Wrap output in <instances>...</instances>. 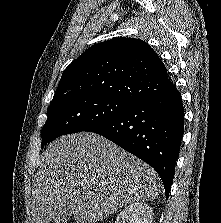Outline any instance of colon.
I'll return each mask as SVG.
<instances>
[{"label":"colon","mask_w":221,"mask_h":223,"mask_svg":"<svg viewBox=\"0 0 221 223\" xmlns=\"http://www.w3.org/2000/svg\"><path fill=\"white\" fill-rule=\"evenodd\" d=\"M62 223H71V222L65 221V222H62Z\"/></svg>","instance_id":"1"}]
</instances>
